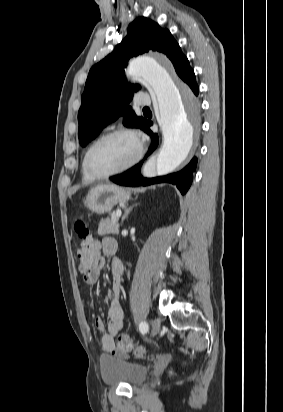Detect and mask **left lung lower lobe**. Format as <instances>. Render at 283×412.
Here are the masks:
<instances>
[{
    "instance_id": "0a47b994",
    "label": "left lung lower lobe",
    "mask_w": 283,
    "mask_h": 412,
    "mask_svg": "<svg viewBox=\"0 0 283 412\" xmlns=\"http://www.w3.org/2000/svg\"><path fill=\"white\" fill-rule=\"evenodd\" d=\"M195 95H198L199 88L195 80V74L191 71L183 80ZM152 125L151 121H148L146 127L143 129L151 137H153L151 147L146 154L145 158L149 156L158 146V136L153 134L149 127ZM143 161L134 167L130 168L126 172L110 177V180L116 184L123 186H149L158 183H171L177 186L181 194H186L188 191L192 180H193V171L196 168L197 159L193 158L191 162L183 168L181 171L176 173H171L165 176L155 177V178H143L140 174V168Z\"/></svg>"
}]
</instances>
